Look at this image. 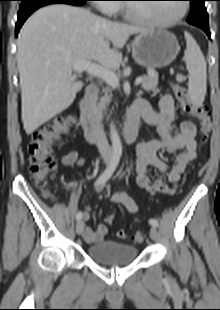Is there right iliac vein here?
I'll return each instance as SVG.
<instances>
[{
    "mask_svg": "<svg viewBox=\"0 0 220 310\" xmlns=\"http://www.w3.org/2000/svg\"><path fill=\"white\" fill-rule=\"evenodd\" d=\"M104 163H108L109 162V158L108 157H105L104 158ZM84 227H85V224H84V221L83 220H79L78 223L76 224V233L78 235H81L84 231Z\"/></svg>",
    "mask_w": 220,
    "mask_h": 310,
    "instance_id": "63e3f726",
    "label": "right iliac vein"
}]
</instances>
